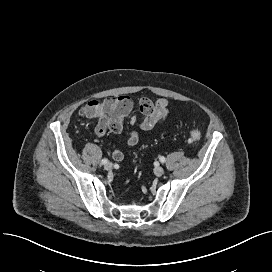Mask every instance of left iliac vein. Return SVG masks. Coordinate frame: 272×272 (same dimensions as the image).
Returning a JSON list of instances; mask_svg holds the SVG:
<instances>
[{
  "mask_svg": "<svg viewBox=\"0 0 272 272\" xmlns=\"http://www.w3.org/2000/svg\"><path fill=\"white\" fill-rule=\"evenodd\" d=\"M154 173L157 175V176H162L164 174V169L161 167V166H156L154 168Z\"/></svg>",
  "mask_w": 272,
  "mask_h": 272,
  "instance_id": "4c4485c4",
  "label": "left iliac vein"
}]
</instances>
